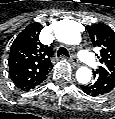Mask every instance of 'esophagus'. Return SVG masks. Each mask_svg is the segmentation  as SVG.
<instances>
[{"instance_id":"obj_1","label":"esophagus","mask_w":115,"mask_h":119,"mask_svg":"<svg viewBox=\"0 0 115 119\" xmlns=\"http://www.w3.org/2000/svg\"><path fill=\"white\" fill-rule=\"evenodd\" d=\"M69 60L74 66H79V61L75 55L72 54Z\"/></svg>"}]
</instances>
